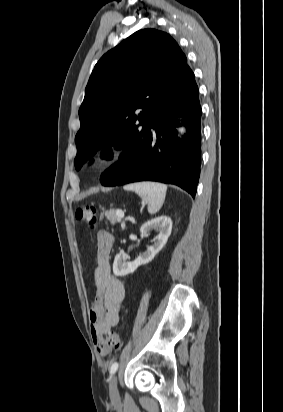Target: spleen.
I'll return each instance as SVG.
<instances>
[{
	"instance_id": "spleen-1",
	"label": "spleen",
	"mask_w": 283,
	"mask_h": 412,
	"mask_svg": "<svg viewBox=\"0 0 283 412\" xmlns=\"http://www.w3.org/2000/svg\"><path fill=\"white\" fill-rule=\"evenodd\" d=\"M127 191H135L145 202L148 203V212L156 214L162 207L167 186L157 182H138L124 186Z\"/></svg>"
}]
</instances>
